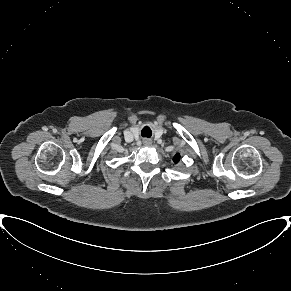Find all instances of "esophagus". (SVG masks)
<instances>
[{"instance_id":"esophagus-1","label":"esophagus","mask_w":291,"mask_h":291,"mask_svg":"<svg viewBox=\"0 0 291 291\" xmlns=\"http://www.w3.org/2000/svg\"><path fill=\"white\" fill-rule=\"evenodd\" d=\"M143 143H144L145 145H150V144H151V141L148 140V139H145V140L143 141Z\"/></svg>"}]
</instances>
